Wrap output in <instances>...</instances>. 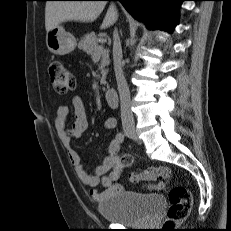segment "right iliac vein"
I'll return each instance as SVG.
<instances>
[{"label": "right iliac vein", "instance_id": "63e3f726", "mask_svg": "<svg viewBox=\"0 0 231 231\" xmlns=\"http://www.w3.org/2000/svg\"><path fill=\"white\" fill-rule=\"evenodd\" d=\"M125 133L131 139H134V140L138 139L137 133L134 129L127 128V129H125Z\"/></svg>", "mask_w": 231, "mask_h": 231}]
</instances>
